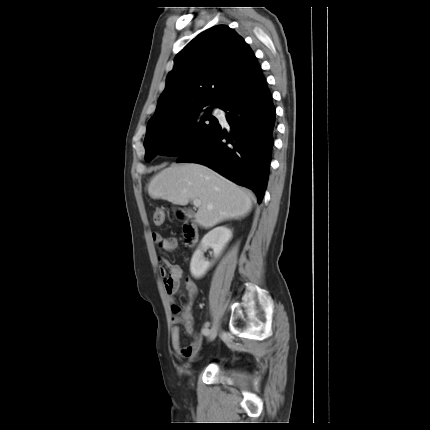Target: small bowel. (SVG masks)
Segmentation results:
<instances>
[{
    "label": "small bowel",
    "instance_id": "c3829d8e",
    "mask_svg": "<svg viewBox=\"0 0 430 430\" xmlns=\"http://www.w3.org/2000/svg\"><path fill=\"white\" fill-rule=\"evenodd\" d=\"M153 241L167 252H173L177 249L178 243L174 237H164L159 233H153ZM166 267L169 269V274H166ZM159 270L162 276V283L165 286L166 293L169 296H175L184 291L187 299L185 305V312L183 317L173 316V328L171 330V347L178 358L193 360L197 357L199 350L202 347V338L196 335L195 340L186 347H181L179 339V327L178 325L182 322L185 323L186 328L193 332V318L191 315V303L195 299L198 293L197 284L190 277H185L183 269L177 264H171L167 261H163L159 265ZM171 303H174V298H171ZM209 328V322H205L201 330L203 331Z\"/></svg>",
    "mask_w": 430,
    "mask_h": 430
}]
</instances>
